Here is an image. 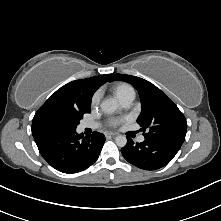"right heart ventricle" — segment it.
<instances>
[{
    "label": "right heart ventricle",
    "instance_id": "right-heart-ventricle-1",
    "mask_svg": "<svg viewBox=\"0 0 221 221\" xmlns=\"http://www.w3.org/2000/svg\"><path fill=\"white\" fill-rule=\"evenodd\" d=\"M112 90L119 101L127 97H135L134 88L125 82H119L112 87Z\"/></svg>",
    "mask_w": 221,
    "mask_h": 221
}]
</instances>
